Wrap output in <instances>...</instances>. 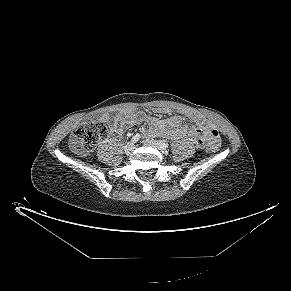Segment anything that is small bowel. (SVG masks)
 I'll return each mask as SVG.
<instances>
[{
	"instance_id": "obj_1",
	"label": "small bowel",
	"mask_w": 291,
	"mask_h": 291,
	"mask_svg": "<svg viewBox=\"0 0 291 291\" xmlns=\"http://www.w3.org/2000/svg\"><path fill=\"white\" fill-rule=\"evenodd\" d=\"M156 113H168L169 108H155ZM189 117L198 125L197 128L189 130L181 125L179 116H171L165 119L153 117L143 111L124 110L114 120V131L116 134H121L131 125L137 122H146L149 125V131L144 135H162L172 139H180L189 136L192 141L200 148L206 147L207 143L217 134L214 126L208 122L203 116L197 113H190Z\"/></svg>"
}]
</instances>
